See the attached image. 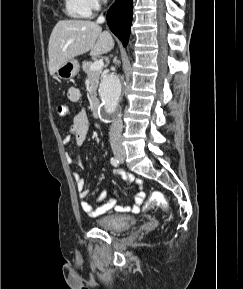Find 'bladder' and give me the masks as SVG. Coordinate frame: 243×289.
<instances>
[{"mask_svg": "<svg viewBox=\"0 0 243 289\" xmlns=\"http://www.w3.org/2000/svg\"><path fill=\"white\" fill-rule=\"evenodd\" d=\"M136 224V218L132 215L122 213H111L99 217L96 225L103 230L120 232L130 229Z\"/></svg>", "mask_w": 243, "mask_h": 289, "instance_id": "1", "label": "bladder"}]
</instances>
